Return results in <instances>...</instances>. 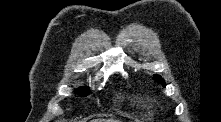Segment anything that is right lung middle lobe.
<instances>
[{
	"label": "right lung middle lobe",
	"mask_w": 221,
	"mask_h": 122,
	"mask_svg": "<svg viewBox=\"0 0 221 122\" xmlns=\"http://www.w3.org/2000/svg\"><path fill=\"white\" fill-rule=\"evenodd\" d=\"M77 94H79L80 96H87L89 93L88 88H81L79 90L76 91Z\"/></svg>",
	"instance_id": "obj_1"
}]
</instances>
